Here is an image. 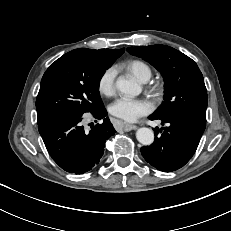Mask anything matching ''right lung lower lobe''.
<instances>
[{
    "mask_svg": "<svg viewBox=\"0 0 231 231\" xmlns=\"http://www.w3.org/2000/svg\"><path fill=\"white\" fill-rule=\"evenodd\" d=\"M92 115L103 122L89 132L82 126V117H57L38 124L50 156L67 172L82 174L91 170L102 157L106 140L115 134L104 107Z\"/></svg>",
    "mask_w": 231,
    "mask_h": 231,
    "instance_id": "right-lung-lower-lobe-1",
    "label": "right lung lower lobe"
}]
</instances>
